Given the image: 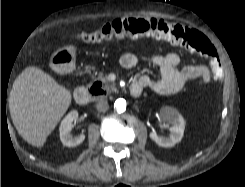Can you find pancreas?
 I'll return each mask as SVG.
<instances>
[{
	"label": "pancreas",
	"mask_w": 245,
	"mask_h": 187,
	"mask_svg": "<svg viewBox=\"0 0 245 187\" xmlns=\"http://www.w3.org/2000/svg\"><path fill=\"white\" fill-rule=\"evenodd\" d=\"M93 81H100L103 84V89L107 92H114L116 91V87L114 83H111L107 76L104 75L102 72L98 73V76L92 77Z\"/></svg>",
	"instance_id": "1"
}]
</instances>
